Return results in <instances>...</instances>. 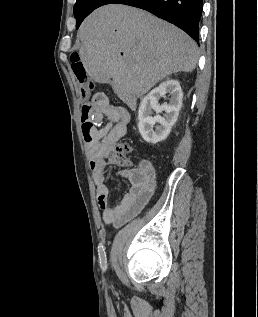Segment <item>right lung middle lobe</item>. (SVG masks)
<instances>
[{"instance_id": "right-lung-middle-lobe-1", "label": "right lung middle lobe", "mask_w": 258, "mask_h": 317, "mask_svg": "<svg viewBox=\"0 0 258 317\" xmlns=\"http://www.w3.org/2000/svg\"><path fill=\"white\" fill-rule=\"evenodd\" d=\"M86 0H77L74 5V16H76Z\"/></svg>"}]
</instances>
